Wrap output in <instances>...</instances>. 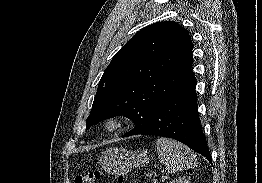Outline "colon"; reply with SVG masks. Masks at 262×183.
Wrapping results in <instances>:
<instances>
[{"instance_id": "5ec220e1", "label": "colon", "mask_w": 262, "mask_h": 183, "mask_svg": "<svg viewBox=\"0 0 262 183\" xmlns=\"http://www.w3.org/2000/svg\"><path fill=\"white\" fill-rule=\"evenodd\" d=\"M103 178V173L98 170L86 171L75 178V183H97ZM118 183H125L124 176L117 177Z\"/></svg>"}]
</instances>
